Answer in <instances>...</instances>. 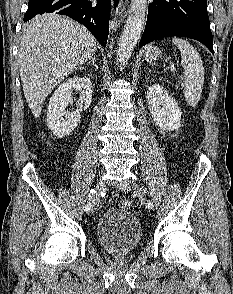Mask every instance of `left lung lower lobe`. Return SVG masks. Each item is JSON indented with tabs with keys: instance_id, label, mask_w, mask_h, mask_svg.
Here are the masks:
<instances>
[{
	"instance_id": "1",
	"label": "left lung lower lobe",
	"mask_w": 233,
	"mask_h": 294,
	"mask_svg": "<svg viewBox=\"0 0 233 294\" xmlns=\"http://www.w3.org/2000/svg\"><path fill=\"white\" fill-rule=\"evenodd\" d=\"M169 36L198 40L214 54L207 0H154L150 3L139 46Z\"/></svg>"
}]
</instances>
